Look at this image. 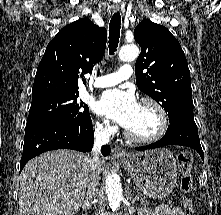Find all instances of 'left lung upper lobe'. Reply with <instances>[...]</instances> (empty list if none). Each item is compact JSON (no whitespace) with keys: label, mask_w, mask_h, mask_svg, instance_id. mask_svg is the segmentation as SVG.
<instances>
[{"label":"left lung upper lobe","mask_w":221,"mask_h":215,"mask_svg":"<svg viewBox=\"0 0 221 215\" xmlns=\"http://www.w3.org/2000/svg\"><path fill=\"white\" fill-rule=\"evenodd\" d=\"M141 47L135 64L136 85L161 104L169 122H195L185 54L170 31L148 19L134 30Z\"/></svg>","instance_id":"left-lung-upper-lobe-1"}]
</instances>
